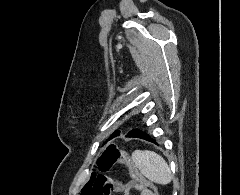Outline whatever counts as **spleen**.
Wrapping results in <instances>:
<instances>
[{
  "instance_id": "3e777b00",
  "label": "spleen",
  "mask_w": 240,
  "mask_h": 195,
  "mask_svg": "<svg viewBox=\"0 0 240 195\" xmlns=\"http://www.w3.org/2000/svg\"><path fill=\"white\" fill-rule=\"evenodd\" d=\"M132 159L140 169V173L145 175L150 181L154 183H170L172 173L170 167L162 155H158L156 151H148V149H136L132 153Z\"/></svg>"
}]
</instances>
